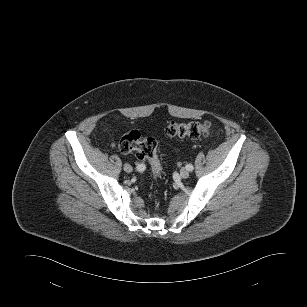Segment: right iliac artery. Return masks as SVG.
<instances>
[{"mask_svg":"<svg viewBox=\"0 0 307 307\" xmlns=\"http://www.w3.org/2000/svg\"><path fill=\"white\" fill-rule=\"evenodd\" d=\"M136 169L139 172H143L145 170V165L144 164H138Z\"/></svg>","mask_w":307,"mask_h":307,"instance_id":"obj_1","label":"right iliac artery"}]
</instances>
